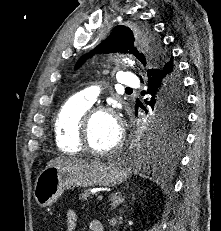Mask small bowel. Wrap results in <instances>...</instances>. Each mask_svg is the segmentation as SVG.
<instances>
[{"mask_svg": "<svg viewBox=\"0 0 221 231\" xmlns=\"http://www.w3.org/2000/svg\"><path fill=\"white\" fill-rule=\"evenodd\" d=\"M77 213L75 210L70 209L67 213V231H73L76 227L77 224ZM92 225H96L102 228L103 231V225L100 221L98 220H94L91 222L90 227H92Z\"/></svg>", "mask_w": 221, "mask_h": 231, "instance_id": "small-bowel-1", "label": "small bowel"}]
</instances>
